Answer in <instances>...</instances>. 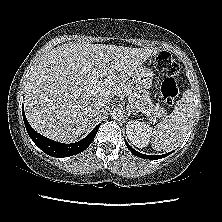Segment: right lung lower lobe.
Masks as SVG:
<instances>
[{"mask_svg":"<svg viewBox=\"0 0 222 222\" xmlns=\"http://www.w3.org/2000/svg\"><path fill=\"white\" fill-rule=\"evenodd\" d=\"M22 114L30 138L43 152L53 157H68L82 152L91 144L100 126V124H98L84 139L75 143L64 144L50 140L37 133L28 123L24 110Z\"/></svg>","mask_w":222,"mask_h":222,"instance_id":"1","label":"right lung lower lobe"}]
</instances>
